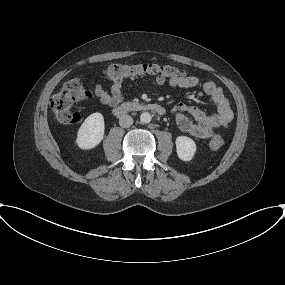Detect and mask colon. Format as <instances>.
Segmentation results:
<instances>
[{
    "label": "colon",
    "mask_w": 285,
    "mask_h": 285,
    "mask_svg": "<svg viewBox=\"0 0 285 285\" xmlns=\"http://www.w3.org/2000/svg\"><path fill=\"white\" fill-rule=\"evenodd\" d=\"M104 74L114 82L142 76L163 78L165 80L186 76L185 72L176 67L158 64H112L104 71ZM90 97V91L86 89L80 80L73 79L66 82L61 90L51 98L50 106L56 121L65 126L78 125L81 122V117L73 111V106L75 103ZM223 145L224 139L219 135H214L209 142V146L213 150L220 149Z\"/></svg>",
    "instance_id": "colon-1"
}]
</instances>
